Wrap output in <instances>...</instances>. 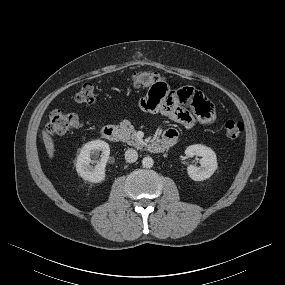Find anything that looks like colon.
Wrapping results in <instances>:
<instances>
[{"mask_svg":"<svg viewBox=\"0 0 285 285\" xmlns=\"http://www.w3.org/2000/svg\"><path fill=\"white\" fill-rule=\"evenodd\" d=\"M154 78H163L154 71H137L132 75V84L136 88H147L149 82ZM75 100L78 103L93 105L96 102L94 86L90 83L84 84L76 93ZM82 126V121L78 116L65 113L58 109H53L49 113L47 130L55 135H68ZM243 124L238 121H227L223 125V133L226 138L235 140L241 136Z\"/></svg>","mask_w":285,"mask_h":285,"instance_id":"1","label":"colon"}]
</instances>
